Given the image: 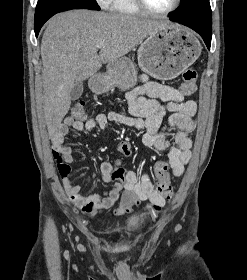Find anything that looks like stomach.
I'll use <instances>...</instances> for the list:
<instances>
[{
    "label": "stomach",
    "mask_w": 247,
    "mask_h": 280,
    "mask_svg": "<svg viewBox=\"0 0 247 280\" xmlns=\"http://www.w3.org/2000/svg\"><path fill=\"white\" fill-rule=\"evenodd\" d=\"M202 47L192 31L182 26L160 28L141 42L138 64L148 74L160 80H171L192 65ZM137 82L134 62L121 57L107 66V72L90 81L95 93L107 92L112 87L127 90Z\"/></svg>",
    "instance_id": "1"
}]
</instances>
